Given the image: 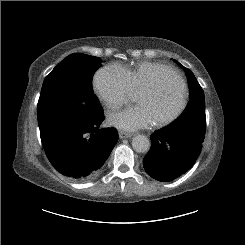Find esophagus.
<instances>
[{
  "label": "esophagus",
  "mask_w": 245,
  "mask_h": 245,
  "mask_svg": "<svg viewBox=\"0 0 245 245\" xmlns=\"http://www.w3.org/2000/svg\"><path fill=\"white\" fill-rule=\"evenodd\" d=\"M132 137L131 133L124 132V131H119V138L124 139V138H130Z\"/></svg>",
  "instance_id": "obj_1"
}]
</instances>
